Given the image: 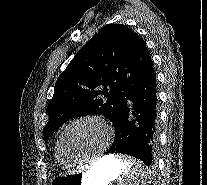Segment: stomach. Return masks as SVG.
Wrapping results in <instances>:
<instances>
[{
	"label": "stomach",
	"mask_w": 207,
	"mask_h": 185,
	"mask_svg": "<svg viewBox=\"0 0 207 185\" xmlns=\"http://www.w3.org/2000/svg\"><path fill=\"white\" fill-rule=\"evenodd\" d=\"M123 170L124 164L118 155H107L83 173L55 177L51 185H108L120 177Z\"/></svg>",
	"instance_id": "stomach-1"
}]
</instances>
